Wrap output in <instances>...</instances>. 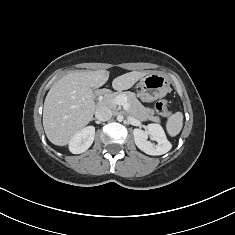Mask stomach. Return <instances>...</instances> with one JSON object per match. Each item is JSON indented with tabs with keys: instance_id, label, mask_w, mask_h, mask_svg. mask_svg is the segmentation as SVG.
<instances>
[{
	"instance_id": "1",
	"label": "stomach",
	"mask_w": 235,
	"mask_h": 235,
	"mask_svg": "<svg viewBox=\"0 0 235 235\" xmlns=\"http://www.w3.org/2000/svg\"><path fill=\"white\" fill-rule=\"evenodd\" d=\"M138 97L143 102H152L164 97L170 90L167 77L161 73H152L141 79Z\"/></svg>"
}]
</instances>
